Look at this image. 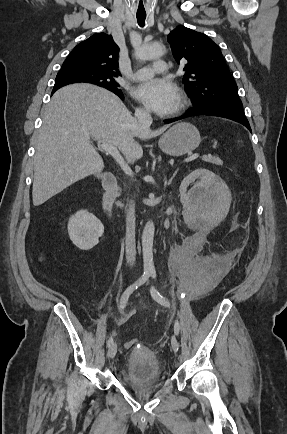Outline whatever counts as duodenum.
Instances as JSON below:
<instances>
[{
    "label": "duodenum",
    "mask_w": 287,
    "mask_h": 434,
    "mask_svg": "<svg viewBox=\"0 0 287 434\" xmlns=\"http://www.w3.org/2000/svg\"><path fill=\"white\" fill-rule=\"evenodd\" d=\"M101 181L105 188V194L102 198V210L112 221H116V218L112 212L113 202L118 194L117 180L113 174H106L101 177Z\"/></svg>",
    "instance_id": "duodenum-1"
}]
</instances>
